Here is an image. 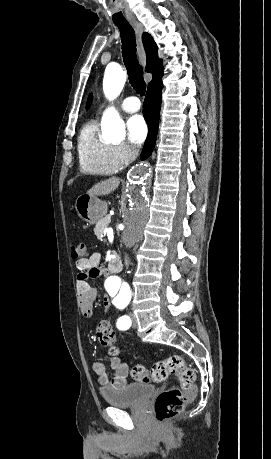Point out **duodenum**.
<instances>
[{
  "label": "duodenum",
  "mask_w": 271,
  "mask_h": 459,
  "mask_svg": "<svg viewBox=\"0 0 271 459\" xmlns=\"http://www.w3.org/2000/svg\"><path fill=\"white\" fill-rule=\"evenodd\" d=\"M122 269V262L118 257H113L109 262V270L112 273H118Z\"/></svg>",
  "instance_id": "duodenum-1"
}]
</instances>
